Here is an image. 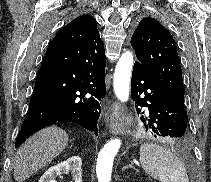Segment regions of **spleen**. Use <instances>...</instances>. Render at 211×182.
Instances as JSON below:
<instances>
[{
  "mask_svg": "<svg viewBox=\"0 0 211 182\" xmlns=\"http://www.w3.org/2000/svg\"><path fill=\"white\" fill-rule=\"evenodd\" d=\"M140 162L144 171L160 182H189L181 160L165 147L152 143L142 144Z\"/></svg>",
  "mask_w": 211,
  "mask_h": 182,
  "instance_id": "3e777b00",
  "label": "spleen"
}]
</instances>
